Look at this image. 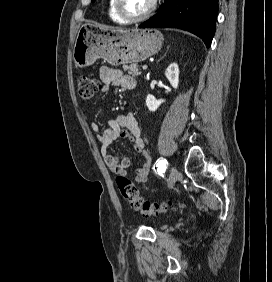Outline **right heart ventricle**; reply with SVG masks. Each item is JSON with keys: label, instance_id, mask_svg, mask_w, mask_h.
Wrapping results in <instances>:
<instances>
[{"label": "right heart ventricle", "instance_id": "right-heart-ventricle-1", "mask_svg": "<svg viewBox=\"0 0 272 282\" xmlns=\"http://www.w3.org/2000/svg\"><path fill=\"white\" fill-rule=\"evenodd\" d=\"M109 16L110 18L116 22V23H119V24H128L127 21H125L124 19H122L118 14L117 12L115 11V8H114V0H110L109 2Z\"/></svg>", "mask_w": 272, "mask_h": 282}]
</instances>
